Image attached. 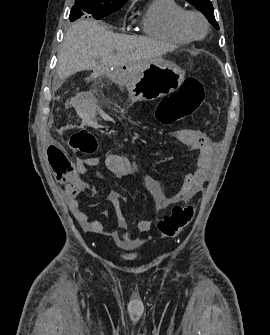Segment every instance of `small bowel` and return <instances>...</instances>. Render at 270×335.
<instances>
[{"label":"small bowel","mask_w":270,"mask_h":335,"mask_svg":"<svg viewBox=\"0 0 270 335\" xmlns=\"http://www.w3.org/2000/svg\"><path fill=\"white\" fill-rule=\"evenodd\" d=\"M191 136V146L199 152L197 169L186 174L181 189L176 194L166 197L156 179L147 177L144 181L146 189L159 200L162 207L189 200L201 189L210 176L211 163L217 145L199 131L192 133ZM44 158L45 161H48V165H53L52 171L56 173V178H63L67 184L66 194L69 209L82 228L90 233L116 235L117 231L108 230L102 221L91 220L88 214L81 209L78 200L79 195L88 187L81 179L80 174H83L88 167L96 166L100 161L99 157L77 160L72 158V154H66L65 149H60L59 144H48L47 154ZM105 163L108 169L120 178L130 176L140 170L138 164L131 163L126 156L116 153L106 155ZM108 200L114 209L118 227L127 228L128 222L122 209V203L126 201V198L121 193L112 190L108 195ZM104 214L106 215L107 212ZM152 224L151 219H143L138 223V231L147 233Z\"/></svg>","instance_id":"c3829d8e"}]
</instances>
